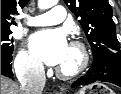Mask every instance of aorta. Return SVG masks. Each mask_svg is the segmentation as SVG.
I'll return each mask as SVG.
<instances>
[{"label":"aorta","instance_id":"1","mask_svg":"<svg viewBox=\"0 0 121 94\" xmlns=\"http://www.w3.org/2000/svg\"><path fill=\"white\" fill-rule=\"evenodd\" d=\"M57 2L58 0H38V8L41 10H46L56 5Z\"/></svg>","mask_w":121,"mask_h":94}]
</instances>
